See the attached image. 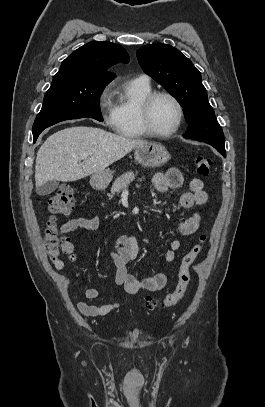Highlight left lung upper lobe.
Masks as SVG:
<instances>
[{
	"mask_svg": "<svg viewBox=\"0 0 265 407\" xmlns=\"http://www.w3.org/2000/svg\"><path fill=\"white\" fill-rule=\"evenodd\" d=\"M136 55L144 72L183 107L189 123L184 138L208 143L225 152L223 130L208 102L201 74L192 62L178 49L162 43L143 46Z\"/></svg>",
	"mask_w": 265,
	"mask_h": 407,
	"instance_id": "5c2ea615",
	"label": "left lung upper lobe"
}]
</instances>
